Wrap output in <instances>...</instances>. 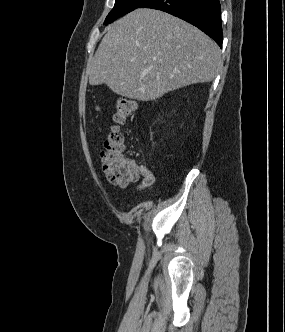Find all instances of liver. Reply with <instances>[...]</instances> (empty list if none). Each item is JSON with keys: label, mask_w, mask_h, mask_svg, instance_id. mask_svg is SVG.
Masks as SVG:
<instances>
[{"label": "liver", "mask_w": 285, "mask_h": 332, "mask_svg": "<svg viewBox=\"0 0 285 332\" xmlns=\"http://www.w3.org/2000/svg\"><path fill=\"white\" fill-rule=\"evenodd\" d=\"M221 66L218 45L198 28L159 10L136 9L107 27L87 73L90 85L150 101L210 82Z\"/></svg>", "instance_id": "6515ba94"}]
</instances>
